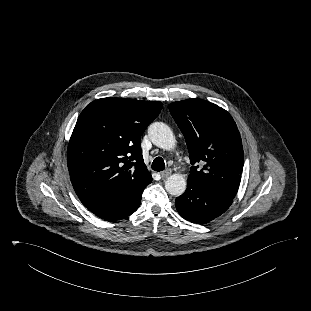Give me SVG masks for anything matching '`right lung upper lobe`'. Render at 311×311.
Instances as JSON below:
<instances>
[{
	"label": "right lung upper lobe",
	"instance_id": "obj_1",
	"mask_svg": "<svg viewBox=\"0 0 311 311\" xmlns=\"http://www.w3.org/2000/svg\"><path fill=\"white\" fill-rule=\"evenodd\" d=\"M161 109L158 101L121 98L85 107L67 149L71 183L82 203L123 206L142 195L152 176L140 136Z\"/></svg>",
	"mask_w": 311,
	"mask_h": 311
}]
</instances>
